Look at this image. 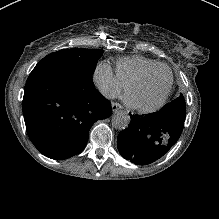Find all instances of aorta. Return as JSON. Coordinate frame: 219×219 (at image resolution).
I'll list each match as a JSON object with an SVG mask.
<instances>
[{
  "label": "aorta",
  "mask_w": 219,
  "mask_h": 219,
  "mask_svg": "<svg viewBox=\"0 0 219 219\" xmlns=\"http://www.w3.org/2000/svg\"><path fill=\"white\" fill-rule=\"evenodd\" d=\"M131 118L124 110H117L112 115L111 123L115 129L124 130L130 124Z\"/></svg>",
  "instance_id": "762f6f07"
}]
</instances>
